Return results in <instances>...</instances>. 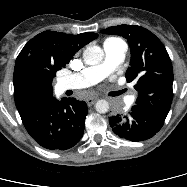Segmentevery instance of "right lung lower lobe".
I'll return each instance as SVG.
<instances>
[{
  "label": "right lung lower lobe",
  "mask_w": 187,
  "mask_h": 187,
  "mask_svg": "<svg viewBox=\"0 0 187 187\" xmlns=\"http://www.w3.org/2000/svg\"><path fill=\"white\" fill-rule=\"evenodd\" d=\"M87 104L75 98L52 97L20 115L30 136L42 147L66 150L83 136Z\"/></svg>",
  "instance_id": "obj_1"
}]
</instances>
